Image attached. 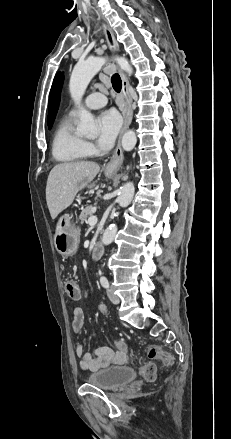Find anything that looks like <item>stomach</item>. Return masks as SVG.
<instances>
[{"mask_svg":"<svg viewBox=\"0 0 231 439\" xmlns=\"http://www.w3.org/2000/svg\"><path fill=\"white\" fill-rule=\"evenodd\" d=\"M115 172L105 171L107 178H113ZM80 241V229L69 216H62L56 225L54 244L56 250L65 257L73 256L78 249Z\"/></svg>","mask_w":231,"mask_h":439,"instance_id":"0dacf381","label":"stomach"}]
</instances>
